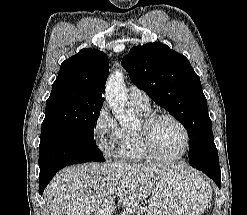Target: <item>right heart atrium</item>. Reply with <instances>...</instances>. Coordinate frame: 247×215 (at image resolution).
Returning <instances> with one entry per match:
<instances>
[{"instance_id":"d8ad5b80","label":"right heart atrium","mask_w":247,"mask_h":215,"mask_svg":"<svg viewBox=\"0 0 247 215\" xmlns=\"http://www.w3.org/2000/svg\"><path fill=\"white\" fill-rule=\"evenodd\" d=\"M93 134L100 151L108 157L116 156L121 129L106 106H102L95 117Z\"/></svg>"}]
</instances>
